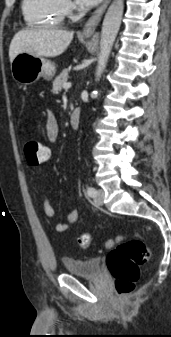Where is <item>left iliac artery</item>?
I'll return each mask as SVG.
<instances>
[{
    "instance_id": "obj_1",
    "label": "left iliac artery",
    "mask_w": 171,
    "mask_h": 337,
    "mask_svg": "<svg viewBox=\"0 0 171 337\" xmlns=\"http://www.w3.org/2000/svg\"><path fill=\"white\" fill-rule=\"evenodd\" d=\"M87 194L90 196V197H94L96 196L97 194V191L94 187L90 186L87 188Z\"/></svg>"
}]
</instances>
